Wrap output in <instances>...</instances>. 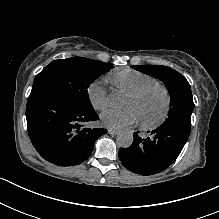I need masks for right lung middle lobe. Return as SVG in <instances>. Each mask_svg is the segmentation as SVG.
I'll list each match as a JSON object with an SVG mask.
<instances>
[{"instance_id":"obj_1","label":"right lung middle lobe","mask_w":219,"mask_h":219,"mask_svg":"<svg viewBox=\"0 0 219 219\" xmlns=\"http://www.w3.org/2000/svg\"><path fill=\"white\" fill-rule=\"evenodd\" d=\"M112 64L83 57L51 62L36 77L31 93H49L65 98L79 108L91 109L87 88Z\"/></svg>"}]
</instances>
